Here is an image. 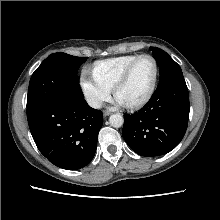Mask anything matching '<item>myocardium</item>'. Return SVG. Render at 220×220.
<instances>
[{
    "label": "myocardium",
    "mask_w": 220,
    "mask_h": 220,
    "mask_svg": "<svg viewBox=\"0 0 220 220\" xmlns=\"http://www.w3.org/2000/svg\"><path fill=\"white\" fill-rule=\"evenodd\" d=\"M143 58H149L154 63L155 74H154L153 83H152V86H151L149 92L147 93V95L143 99H141L140 101H138L136 103H133V104H128V105L125 104V106L130 108V109H139V108L143 107L153 97V95H154V93L156 91V87H157L158 79H159V65H158L157 60L152 55H150V54L139 55L136 59H134L128 65V67L125 69L123 74L119 77V79L116 81V83L113 86V93H114V96L116 97L118 90L128 81V79L130 78V75H131L134 67Z\"/></svg>",
    "instance_id": "obj_1"
}]
</instances>
